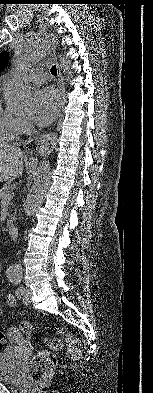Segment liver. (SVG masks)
Instances as JSON below:
<instances>
[{"label":"liver","instance_id":"obj_1","mask_svg":"<svg viewBox=\"0 0 153 393\" xmlns=\"http://www.w3.org/2000/svg\"><path fill=\"white\" fill-rule=\"evenodd\" d=\"M24 161V153L17 146H0V182L12 181L21 176Z\"/></svg>","mask_w":153,"mask_h":393}]
</instances>
